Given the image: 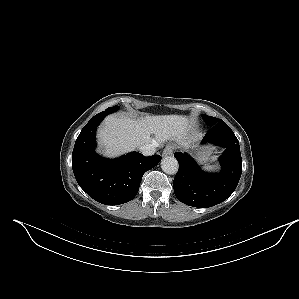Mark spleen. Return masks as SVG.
Instances as JSON below:
<instances>
[{
  "mask_svg": "<svg viewBox=\"0 0 299 299\" xmlns=\"http://www.w3.org/2000/svg\"><path fill=\"white\" fill-rule=\"evenodd\" d=\"M206 168H207V169H211V168H212V166L208 165V166H206Z\"/></svg>",
  "mask_w": 299,
  "mask_h": 299,
  "instance_id": "obj_1",
  "label": "spleen"
}]
</instances>
